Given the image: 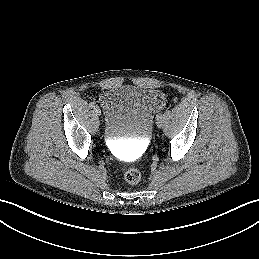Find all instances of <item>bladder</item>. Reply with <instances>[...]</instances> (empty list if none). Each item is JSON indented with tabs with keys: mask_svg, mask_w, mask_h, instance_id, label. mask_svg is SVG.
<instances>
[{
	"mask_svg": "<svg viewBox=\"0 0 259 259\" xmlns=\"http://www.w3.org/2000/svg\"><path fill=\"white\" fill-rule=\"evenodd\" d=\"M158 105L154 91L130 87L108 92L104 98L107 137L148 138Z\"/></svg>",
	"mask_w": 259,
	"mask_h": 259,
	"instance_id": "obj_1",
	"label": "bladder"
}]
</instances>
